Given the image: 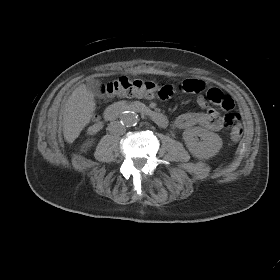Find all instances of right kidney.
<instances>
[{"label": "right kidney", "mask_w": 280, "mask_h": 280, "mask_svg": "<svg viewBox=\"0 0 280 280\" xmlns=\"http://www.w3.org/2000/svg\"><path fill=\"white\" fill-rule=\"evenodd\" d=\"M91 146V141H88V142H86L85 144H84V147H86V148H88V147H90Z\"/></svg>", "instance_id": "1"}]
</instances>
